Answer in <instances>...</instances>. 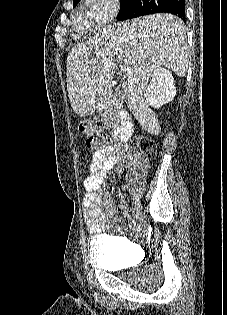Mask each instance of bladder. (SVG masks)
Segmentation results:
<instances>
[{
	"mask_svg": "<svg viewBox=\"0 0 227 315\" xmlns=\"http://www.w3.org/2000/svg\"><path fill=\"white\" fill-rule=\"evenodd\" d=\"M131 242L122 238L92 237L89 245L88 259L92 266L101 269H117L128 266L126 250Z\"/></svg>",
	"mask_w": 227,
	"mask_h": 315,
	"instance_id": "obj_1",
	"label": "bladder"
}]
</instances>
